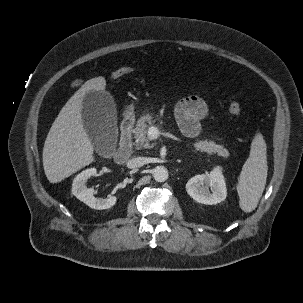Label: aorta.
I'll use <instances>...</instances> for the list:
<instances>
[{"label":"aorta","mask_w":303,"mask_h":303,"mask_svg":"<svg viewBox=\"0 0 303 303\" xmlns=\"http://www.w3.org/2000/svg\"><path fill=\"white\" fill-rule=\"evenodd\" d=\"M153 177L157 182H164L168 178V170L164 166H157L152 171Z\"/></svg>","instance_id":"obj_1"}]
</instances>
